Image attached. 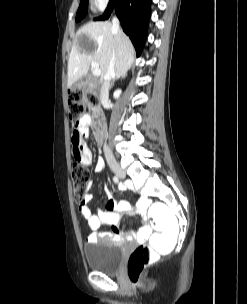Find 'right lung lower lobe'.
Wrapping results in <instances>:
<instances>
[{"mask_svg":"<svg viewBox=\"0 0 247 304\" xmlns=\"http://www.w3.org/2000/svg\"><path fill=\"white\" fill-rule=\"evenodd\" d=\"M151 0H110L104 14L96 20H107L115 9L124 32L130 37L137 57L140 56L147 37L151 15Z\"/></svg>","mask_w":247,"mask_h":304,"instance_id":"obj_1","label":"right lung lower lobe"}]
</instances>
